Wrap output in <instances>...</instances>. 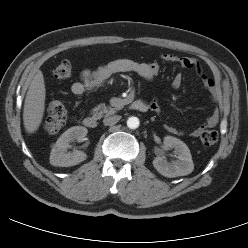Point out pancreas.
<instances>
[{
    "label": "pancreas",
    "instance_id": "cf45deb5",
    "mask_svg": "<svg viewBox=\"0 0 248 248\" xmlns=\"http://www.w3.org/2000/svg\"><path fill=\"white\" fill-rule=\"evenodd\" d=\"M115 108L107 107L104 104H99L93 109V113L96 115H102V114H112L115 112Z\"/></svg>",
    "mask_w": 248,
    "mask_h": 248
}]
</instances>
